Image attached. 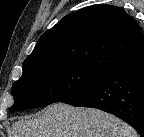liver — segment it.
Returning a JSON list of instances; mask_svg holds the SVG:
<instances>
[{
  "label": "liver",
  "mask_w": 144,
  "mask_h": 137,
  "mask_svg": "<svg viewBox=\"0 0 144 137\" xmlns=\"http://www.w3.org/2000/svg\"><path fill=\"white\" fill-rule=\"evenodd\" d=\"M11 137H138L118 117L95 108L54 103L36 117L12 124Z\"/></svg>",
  "instance_id": "6515ba94"
}]
</instances>
